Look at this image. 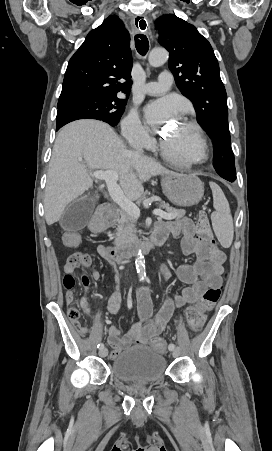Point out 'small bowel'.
<instances>
[{
    "label": "small bowel",
    "instance_id": "1",
    "mask_svg": "<svg viewBox=\"0 0 272 451\" xmlns=\"http://www.w3.org/2000/svg\"><path fill=\"white\" fill-rule=\"evenodd\" d=\"M199 233L198 226L187 217L157 223L153 236L158 235L166 239L171 234L175 239H180L182 253L185 255L195 254L196 261L192 264L177 267L175 274L187 286L183 288L180 295L167 296L153 319H151L152 300L150 290L147 287L141 288L137 302L136 320L132 323L130 330L121 337L120 330L117 327L110 326L108 328L107 343L112 348L110 359H117L122 351L131 345L146 344L158 338L176 309L195 303L207 288L220 287L226 256L216 245H204L200 240ZM81 252H85V250ZM74 271L71 270L72 275ZM171 275L172 270L169 265H164L161 269V281L165 282ZM99 277L100 271L98 269H93L90 273L82 275L81 284L85 294L90 291L91 281L97 280ZM121 298L118 284L105 307L106 311L109 313L118 312ZM74 299V295H66V301L69 304H72ZM81 305L87 308L85 299L81 300ZM68 311H78V309L71 307Z\"/></svg>",
    "mask_w": 272,
    "mask_h": 451
}]
</instances>
